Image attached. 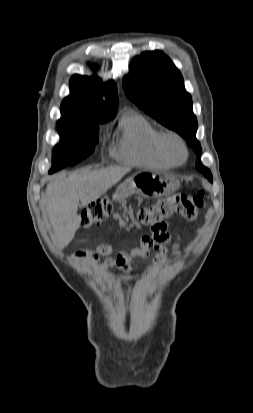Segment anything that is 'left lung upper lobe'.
<instances>
[{
    "label": "left lung upper lobe",
    "instance_id": "obj_1",
    "mask_svg": "<svg viewBox=\"0 0 253 413\" xmlns=\"http://www.w3.org/2000/svg\"><path fill=\"white\" fill-rule=\"evenodd\" d=\"M123 86L130 100L161 124L179 133L200 156L192 98L185 90L181 73L164 53L150 51L135 57ZM196 168L212 182L210 170L202 165L200 159L196 161Z\"/></svg>",
    "mask_w": 253,
    "mask_h": 413
}]
</instances>
